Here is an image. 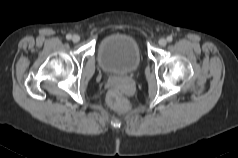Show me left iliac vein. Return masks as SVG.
<instances>
[{
    "label": "left iliac vein",
    "mask_w": 238,
    "mask_h": 158,
    "mask_svg": "<svg viewBox=\"0 0 238 158\" xmlns=\"http://www.w3.org/2000/svg\"><path fill=\"white\" fill-rule=\"evenodd\" d=\"M159 45L164 47L166 46L167 44V40L165 38H161L159 41H158Z\"/></svg>",
    "instance_id": "obj_1"
}]
</instances>
